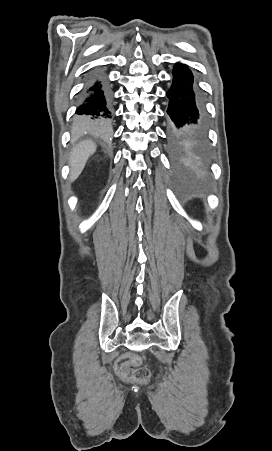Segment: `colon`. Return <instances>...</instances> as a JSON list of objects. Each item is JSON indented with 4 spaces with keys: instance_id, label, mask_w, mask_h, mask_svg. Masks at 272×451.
Returning a JSON list of instances; mask_svg holds the SVG:
<instances>
[{
    "instance_id": "1",
    "label": "colon",
    "mask_w": 272,
    "mask_h": 451,
    "mask_svg": "<svg viewBox=\"0 0 272 451\" xmlns=\"http://www.w3.org/2000/svg\"><path fill=\"white\" fill-rule=\"evenodd\" d=\"M138 359L131 358H116L115 371L116 374H129V378L135 381H144L149 377V370L147 365H136L133 370V364L137 363Z\"/></svg>"
}]
</instances>
